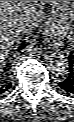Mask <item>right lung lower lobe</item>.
I'll list each match as a JSON object with an SVG mask.
<instances>
[{"label":"right lung lower lobe","mask_w":74,"mask_h":122,"mask_svg":"<svg viewBox=\"0 0 74 122\" xmlns=\"http://www.w3.org/2000/svg\"><path fill=\"white\" fill-rule=\"evenodd\" d=\"M25 46H26V44L22 43L21 46L19 47V49H23ZM10 87H11V83L9 85L0 87V94L7 91Z\"/></svg>","instance_id":"right-lung-lower-lobe-1"}]
</instances>
